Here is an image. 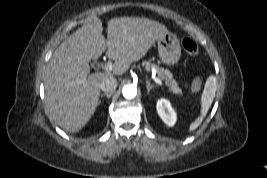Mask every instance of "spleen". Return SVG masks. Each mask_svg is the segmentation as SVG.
Wrapping results in <instances>:
<instances>
[{
    "label": "spleen",
    "mask_w": 267,
    "mask_h": 178,
    "mask_svg": "<svg viewBox=\"0 0 267 178\" xmlns=\"http://www.w3.org/2000/svg\"><path fill=\"white\" fill-rule=\"evenodd\" d=\"M216 88V79L215 77L210 76L206 81L205 88L201 96L200 116L190 124L188 132H193L201 125L215 97Z\"/></svg>",
    "instance_id": "spleen-1"
}]
</instances>
